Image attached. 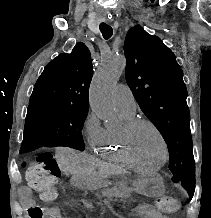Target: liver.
Returning <instances> with one entry per match:
<instances>
[{"label": "liver", "mask_w": 211, "mask_h": 218, "mask_svg": "<svg viewBox=\"0 0 211 218\" xmlns=\"http://www.w3.org/2000/svg\"><path fill=\"white\" fill-rule=\"evenodd\" d=\"M57 162L60 170H66L72 176H88L94 166L93 156H88L84 152H76V150H69V148H58ZM116 172V170H115Z\"/></svg>", "instance_id": "obj_1"}]
</instances>
